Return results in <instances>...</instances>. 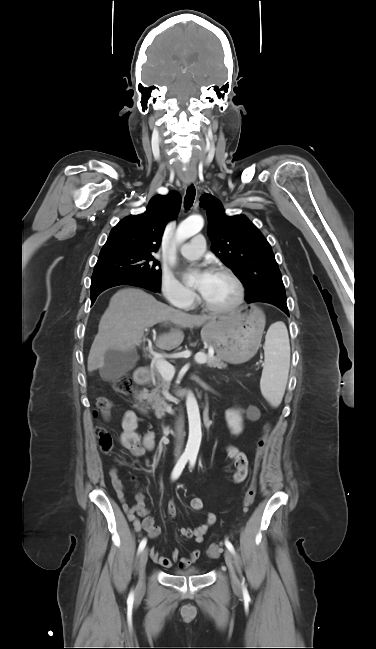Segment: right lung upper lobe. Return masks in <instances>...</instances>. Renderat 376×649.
Here are the masks:
<instances>
[{
	"instance_id": "cb5924a9",
	"label": "right lung upper lobe",
	"mask_w": 376,
	"mask_h": 649,
	"mask_svg": "<svg viewBox=\"0 0 376 649\" xmlns=\"http://www.w3.org/2000/svg\"><path fill=\"white\" fill-rule=\"evenodd\" d=\"M180 206L181 196L175 191L165 196H154L145 213L124 218L111 230L100 254L156 252L166 224L177 217Z\"/></svg>"
}]
</instances>
